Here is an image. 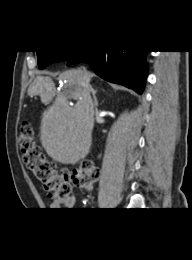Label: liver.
Segmentation results:
<instances>
[{"instance_id": "obj_1", "label": "liver", "mask_w": 192, "mask_h": 260, "mask_svg": "<svg viewBox=\"0 0 192 260\" xmlns=\"http://www.w3.org/2000/svg\"><path fill=\"white\" fill-rule=\"evenodd\" d=\"M93 73L70 69L60 73L62 91L43 113L40 141L46 153L62 164H76L90 152L94 127V107L88 87ZM55 84L49 76L38 75L28 89L30 96L40 95L51 101ZM77 100L70 107L68 99Z\"/></svg>"}]
</instances>
